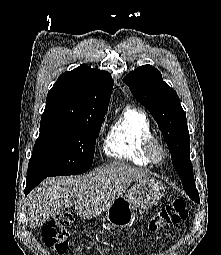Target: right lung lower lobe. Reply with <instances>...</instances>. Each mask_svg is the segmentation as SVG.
<instances>
[{
	"label": "right lung lower lobe",
	"instance_id": "right-lung-lower-lobe-1",
	"mask_svg": "<svg viewBox=\"0 0 221 255\" xmlns=\"http://www.w3.org/2000/svg\"><path fill=\"white\" fill-rule=\"evenodd\" d=\"M46 177L36 176V177H27V183L25 188V195H27L36 185H38Z\"/></svg>",
	"mask_w": 221,
	"mask_h": 255
}]
</instances>
